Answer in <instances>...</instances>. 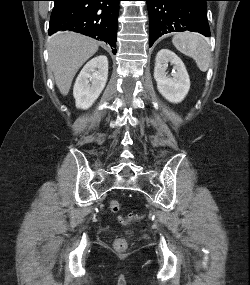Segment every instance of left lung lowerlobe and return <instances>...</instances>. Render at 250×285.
I'll use <instances>...</instances> for the list:
<instances>
[{
	"mask_svg": "<svg viewBox=\"0 0 250 285\" xmlns=\"http://www.w3.org/2000/svg\"><path fill=\"white\" fill-rule=\"evenodd\" d=\"M149 13V46L161 35L194 31L210 37L207 5L210 0H144Z\"/></svg>",
	"mask_w": 250,
	"mask_h": 285,
	"instance_id": "0a47b994",
	"label": "left lung lower lobe"
}]
</instances>
